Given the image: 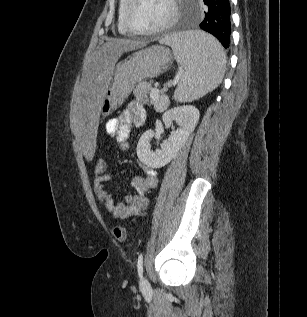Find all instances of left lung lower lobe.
<instances>
[{
	"instance_id": "obj_1",
	"label": "left lung lower lobe",
	"mask_w": 307,
	"mask_h": 317,
	"mask_svg": "<svg viewBox=\"0 0 307 317\" xmlns=\"http://www.w3.org/2000/svg\"><path fill=\"white\" fill-rule=\"evenodd\" d=\"M206 11L199 27L214 35L224 48L230 44L231 9L229 0H203Z\"/></svg>"
}]
</instances>
